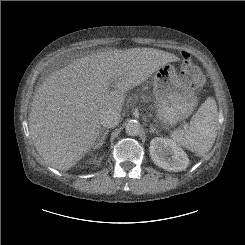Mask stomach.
Returning <instances> with one entry per match:
<instances>
[{"label": "stomach", "mask_w": 245, "mask_h": 245, "mask_svg": "<svg viewBox=\"0 0 245 245\" xmlns=\"http://www.w3.org/2000/svg\"><path fill=\"white\" fill-rule=\"evenodd\" d=\"M153 93L157 117L166 126L186 119L197 106V97L172 64H165L154 73Z\"/></svg>", "instance_id": "stomach-1"}]
</instances>
